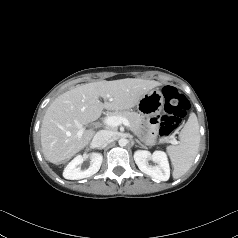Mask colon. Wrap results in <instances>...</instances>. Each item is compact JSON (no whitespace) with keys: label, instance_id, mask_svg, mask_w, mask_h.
Returning a JSON list of instances; mask_svg holds the SVG:
<instances>
[{"label":"colon","instance_id":"5ec220e1","mask_svg":"<svg viewBox=\"0 0 238 238\" xmlns=\"http://www.w3.org/2000/svg\"><path fill=\"white\" fill-rule=\"evenodd\" d=\"M162 94L165 105L159 131L162 136H168L180 126L190 104L188 99L172 86H165Z\"/></svg>","mask_w":238,"mask_h":238}]
</instances>
